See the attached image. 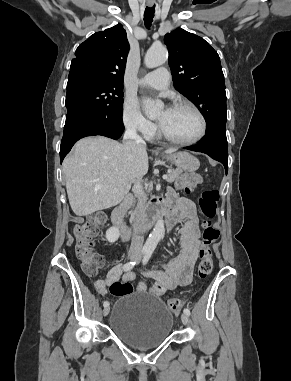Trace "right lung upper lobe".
<instances>
[{
  "label": "right lung upper lobe",
  "mask_w": 291,
  "mask_h": 381,
  "mask_svg": "<svg viewBox=\"0 0 291 381\" xmlns=\"http://www.w3.org/2000/svg\"><path fill=\"white\" fill-rule=\"evenodd\" d=\"M128 50L129 43L122 25L94 33L76 49L68 81L84 79L123 86Z\"/></svg>",
  "instance_id": "1"
}]
</instances>
